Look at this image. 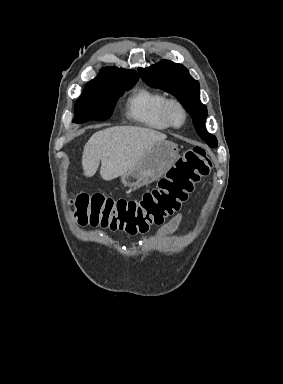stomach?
I'll return each instance as SVG.
<instances>
[{
  "mask_svg": "<svg viewBox=\"0 0 283 384\" xmlns=\"http://www.w3.org/2000/svg\"><path fill=\"white\" fill-rule=\"evenodd\" d=\"M177 144L173 142H156L148 148L144 156L121 176V182L126 188H142L156 182L173 166L178 156Z\"/></svg>",
  "mask_w": 283,
  "mask_h": 384,
  "instance_id": "0dacf381",
  "label": "stomach"
}]
</instances>
